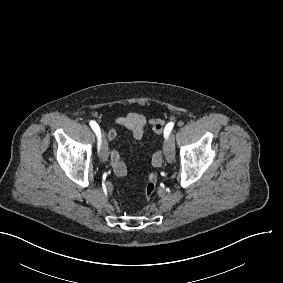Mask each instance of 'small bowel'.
<instances>
[{
	"label": "small bowel",
	"mask_w": 283,
	"mask_h": 283,
	"mask_svg": "<svg viewBox=\"0 0 283 283\" xmlns=\"http://www.w3.org/2000/svg\"><path fill=\"white\" fill-rule=\"evenodd\" d=\"M115 124L129 130L132 137L136 141L142 140L145 129L150 125L152 131L156 135L163 134V124L160 121L148 122L146 116L139 112H130L128 114L118 116L115 118ZM118 136V129L112 128L107 133V139L114 141ZM163 162V156L161 151L154 152L152 156V164L155 167H160ZM110 163L114 174L117 177H124L127 173V167L123 159L121 158L117 149L113 148L110 152Z\"/></svg>",
	"instance_id": "small-bowel-1"
}]
</instances>
